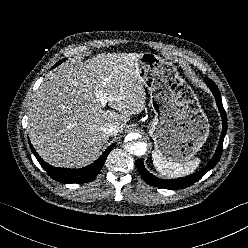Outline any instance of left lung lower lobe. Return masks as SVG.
Segmentation results:
<instances>
[{
  "instance_id": "0a47b994",
  "label": "left lung lower lobe",
  "mask_w": 248,
  "mask_h": 248,
  "mask_svg": "<svg viewBox=\"0 0 248 248\" xmlns=\"http://www.w3.org/2000/svg\"><path fill=\"white\" fill-rule=\"evenodd\" d=\"M206 84L209 86L210 90L212 91V93L216 99L217 106L219 108V111H220V114L222 117V124H223V129H222V133L220 136V141H219L217 150H216L213 158L209 161V163L206 165V167H204L199 172L194 173V174L187 176V177H183V178H179V179H172V180H164V179L155 177L154 175H152L151 173H149L145 169L142 159L136 160L135 164H136V167L138 168V171L140 172V175L150 185L165 188V189H182V188L188 187L191 184L195 183L197 180H199L203 175H205L219 161V159L221 157L222 149H223V140H224V137H225V134L227 131V115H226V112L223 108L221 96H220V93H219V90H218L216 84L210 79L206 80Z\"/></svg>"
}]
</instances>
